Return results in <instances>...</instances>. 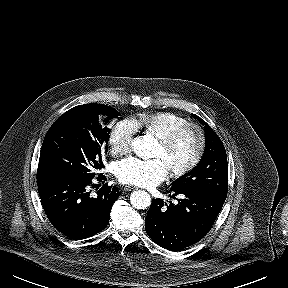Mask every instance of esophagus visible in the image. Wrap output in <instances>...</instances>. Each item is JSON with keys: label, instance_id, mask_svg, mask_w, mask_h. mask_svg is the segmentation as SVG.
Instances as JSON below:
<instances>
[{"label": "esophagus", "instance_id": "1", "mask_svg": "<svg viewBox=\"0 0 288 288\" xmlns=\"http://www.w3.org/2000/svg\"><path fill=\"white\" fill-rule=\"evenodd\" d=\"M134 189H136V187H134V186H125V187H123L124 191H131V190H134Z\"/></svg>", "mask_w": 288, "mask_h": 288}]
</instances>
